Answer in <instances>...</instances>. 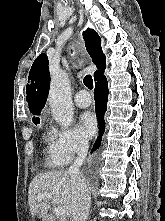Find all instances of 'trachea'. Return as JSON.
Returning a JSON list of instances; mask_svg holds the SVG:
<instances>
[{"mask_svg":"<svg viewBox=\"0 0 165 221\" xmlns=\"http://www.w3.org/2000/svg\"><path fill=\"white\" fill-rule=\"evenodd\" d=\"M85 86L89 89H93V80L91 75H86L83 79Z\"/></svg>","mask_w":165,"mask_h":221,"instance_id":"obj_1","label":"trachea"}]
</instances>
